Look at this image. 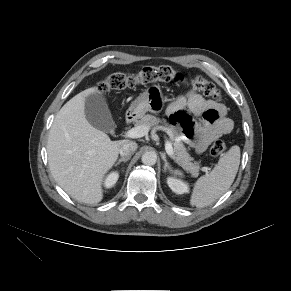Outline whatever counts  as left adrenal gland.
<instances>
[{"label": "left adrenal gland", "instance_id": "left-adrenal-gland-1", "mask_svg": "<svg viewBox=\"0 0 291 291\" xmlns=\"http://www.w3.org/2000/svg\"><path fill=\"white\" fill-rule=\"evenodd\" d=\"M161 157H162V159H163V161H164V170H163V172H166L167 169L171 172V171H172V167H171V165L168 163V161H167V159H166V155H165V153H163V154L161 155Z\"/></svg>", "mask_w": 291, "mask_h": 291}]
</instances>
